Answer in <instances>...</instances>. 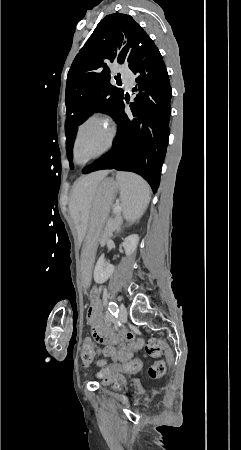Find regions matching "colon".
I'll use <instances>...</instances> for the list:
<instances>
[{"label":"colon","instance_id":"obj_1","mask_svg":"<svg viewBox=\"0 0 241 450\" xmlns=\"http://www.w3.org/2000/svg\"><path fill=\"white\" fill-rule=\"evenodd\" d=\"M93 349H94L93 341L91 339H86L82 344V351L80 355L82 359H87L86 360L87 364L91 363L89 357L93 356ZM145 351L147 355L154 357L160 356L162 354L166 355L165 362L167 364H165V362L162 360H158L150 366L148 371L149 377H151L152 379H159L164 374L166 365L168 367L171 365L170 364L172 362V356L170 355L171 346L165 340H160L158 338H150L145 344ZM140 366L141 364L139 362H135L130 366L129 370L137 371L140 369Z\"/></svg>","mask_w":241,"mask_h":450}]
</instances>
